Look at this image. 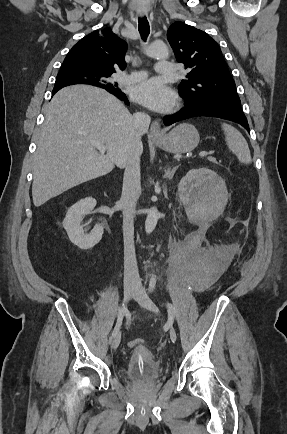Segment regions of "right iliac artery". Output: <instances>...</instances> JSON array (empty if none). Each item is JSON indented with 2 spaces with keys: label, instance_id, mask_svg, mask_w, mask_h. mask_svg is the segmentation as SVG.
I'll list each match as a JSON object with an SVG mask.
<instances>
[{
  "label": "right iliac artery",
  "instance_id": "82829eb1",
  "mask_svg": "<svg viewBox=\"0 0 287 434\" xmlns=\"http://www.w3.org/2000/svg\"><path fill=\"white\" fill-rule=\"evenodd\" d=\"M124 313H125V307H124V304H123L122 307L119 309L117 322H116V325H115V327L113 329L111 338L115 337L116 334L119 332V329H120V327L122 325Z\"/></svg>",
  "mask_w": 287,
  "mask_h": 434
}]
</instances>
